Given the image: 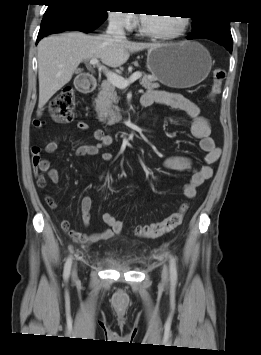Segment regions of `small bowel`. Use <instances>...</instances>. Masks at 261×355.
<instances>
[{"mask_svg":"<svg viewBox=\"0 0 261 355\" xmlns=\"http://www.w3.org/2000/svg\"><path fill=\"white\" fill-rule=\"evenodd\" d=\"M153 104L182 110L192 119L191 132L193 136L199 140L200 149L204 153V164L199 168H195L189 157L181 155H171L166 157L163 161V166L167 170L191 172V178L184 185L183 193L187 198L192 199L196 195V189L213 175L212 166L217 162L220 156V150L215 146L214 141L210 136V124L208 120L201 115L198 105L180 94L162 90H147L141 98V105L148 107ZM42 125L41 121L36 120L33 123V128L40 129ZM77 128L80 131L85 132L89 129V126L86 122L79 121L77 123ZM93 137L96 140V143L78 146L75 150V155L79 157L101 155L104 161H110L111 155L109 153H101V150L111 145L113 138L110 135L105 134L101 129L94 130ZM58 147L59 142L57 140L48 142L44 148L37 144L31 147L33 173L37 184L40 187H45L47 182L56 184L60 180L58 171L51 168L50 161L42 156L43 149L46 153L52 154L58 149ZM44 173L46 175H44ZM46 201L52 209L57 208V204L51 197L47 196ZM91 207V198L89 196H83L80 200V210L81 220L84 226H88L91 222ZM102 219L108 228L101 231L91 233L78 232L73 229L70 222L65 219L61 221V228L74 241L82 244H95L101 242L112 237L114 234L120 233L124 228V223L110 213L103 214Z\"/></svg>","mask_w":261,"mask_h":355,"instance_id":"1","label":"small bowel"}]
</instances>
